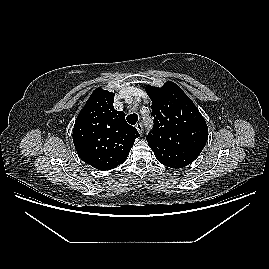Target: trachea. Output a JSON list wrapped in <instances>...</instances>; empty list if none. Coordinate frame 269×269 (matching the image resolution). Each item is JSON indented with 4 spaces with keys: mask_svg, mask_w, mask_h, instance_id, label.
<instances>
[{
    "mask_svg": "<svg viewBox=\"0 0 269 269\" xmlns=\"http://www.w3.org/2000/svg\"><path fill=\"white\" fill-rule=\"evenodd\" d=\"M126 119L128 123L134 125L138 121V115L133 113V114L128 115Z\"/></svg>",
    "mask_w": 269,
    "mask_h": 269,
    "instance_id": "obj_1",
    "label": "trachea"
}]
</instances>
